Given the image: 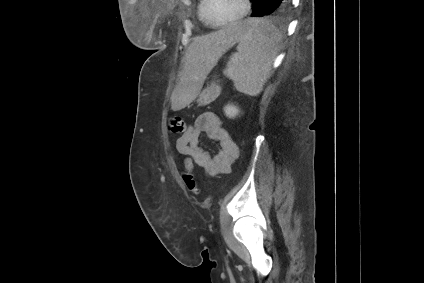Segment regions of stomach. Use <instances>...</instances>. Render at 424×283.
Returning <instances> with one entry per match:
<instances>
[{
    "mask_svg": "<svg viewBox=\"0 0 424 283\" xmlns=\"http://www.w3.org/2000/svg\"><path fill=\"white\" fill-rule=\"evenodd\" d=\"M246 31H247V29H246ZM212 85L213 84H211L210 87H207V88L203 89L202 91L198 92L196 97H197V102L199 103V105H203V104L208 102V100L205 99V98L208 96V93L211 91Z\"/></svg>",
    "mask_w": 424,
    "mask_h": 283,
    "instance_id": "0dacf381",
    "label": "stomach"
}]
</instances>
